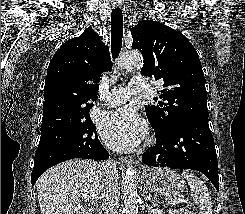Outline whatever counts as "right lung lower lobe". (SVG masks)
<instances>
[{
	"label": "right lung lower lobe",
	"mask_w": 245,
	"mask_h": 214,
	"mask_svg": "<svg viewBox=\"0 0 245 214\" xmlns=\"http://www.w3.org/2000/svg\"><path fill=\"white\" fill-rule=\"evenodd\" d=\"M38 151H42L44 153V157H58V160L51 165L43 166L40 161H36L34 163V168L32 171V185H34L37 179L41 176V174L52 167L55 164L60 162L73 159V158H84V159H93V160H105L109 158V153L105 150V148L100 143L97 138V142L90 146L88 151L75 153L73 151H64L62 147L59 146H39Z\"/></svg>",
	"instance_id": "obj_1"
}]
</instances>
